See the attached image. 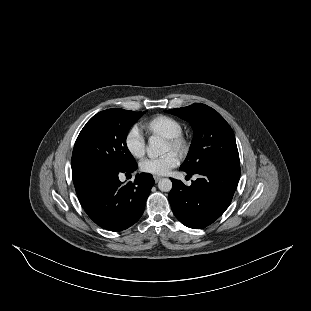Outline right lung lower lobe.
<instances>
[{"mask_svg":"<svg viewBox=\"0 0 311 311\" xmlns=\"http://www.w3.org/2000/svg\"><path fill=\"white\" fill-rule=\"evenodd\" d=\"M102 165H89L72 171L78 199L88 216L109 231H122L142 216L155 181L151 174L140 173L135 181L122 186L118 175L132 173Z\"/></svg>","mask_w":311,"mask_h":311,"instance_id":"1","label":"right lung lower lobe"}]
</instances>
